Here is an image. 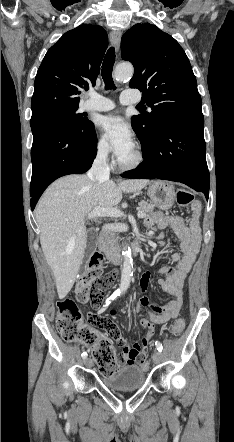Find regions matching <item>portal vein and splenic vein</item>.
I'll use <instances>...</instances> for the list:
<instances>
[{
  "mask_svg": "<svg viewBox=\"0 0 234 442\" xmlns=\"http://www.w3.org/2000/svg\"><path fill=\"white\" fill-rule=\"evenodd\" d=\"M124 216V213L117 208H100L96 207L94 210L87 216L88 219L96 218V217H113L119 218ZM138 218H144L146 216L142 211H138Z\"/></svg>",
  "mask_w": 234,
  "mask_h": 442,
  "instance_id": "1",
  "label": "portal vein and splenic vein"
}]
</instances>
